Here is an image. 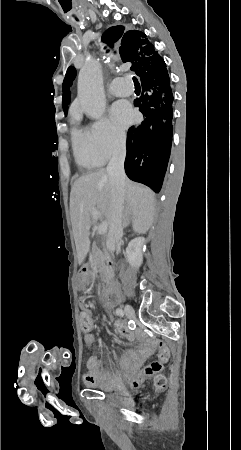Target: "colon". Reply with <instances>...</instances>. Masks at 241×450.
Masks as SVG:
<instances>
[{
	"label": "colon",
	"mask_w": 241,
	"mask_h": 450,
	"mask_svg": "<svg viewBox=\"0 0 241 450\" xmlns=\"http://www.w3.org/2000/svg\"><path fill=\"white\" fill-rule=\"evenodd\" d=\"M79 327L85 330L93 329V315L92 314H81L79 316ZM154 386L158 391H161L167 386V381L165 375L161 373L160 376H155Z\"/></svg>",
	"instance_id": "1"
}]
</instances>
